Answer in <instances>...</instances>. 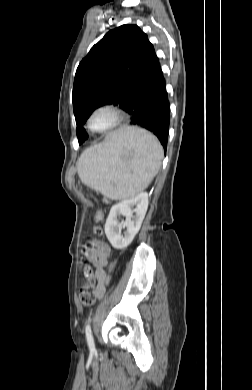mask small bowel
Instances as JSON below:
<instances>
[{"label":"small bowel","mask_w":252,"mask_h":390,"mask_svg":"<svg viewBox=\"0 0 252 390\" xmlns=\"http://www.w3.org/2000/svg\"><path fill=\"white\" fill-rule=\"evenodd\" d=\"M82 253L95 267L92 277L97 282L96 298L100 300L105 294L106 286L110 282V275L105 271V267L109 262L110 249L102 242L93 241V247H83ZM86 270H88L91 274L89 268H86Z\"/></svg>","instance_id":"c3829d8e"}]
</instances>
